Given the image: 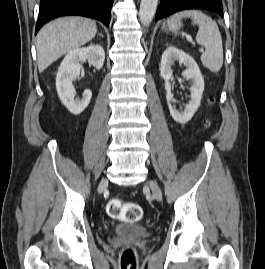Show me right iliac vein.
<instances>
[{
    "label": "right iliac vein",
    "instance_id": "1",
    "mask_svg": "<svg viewBox=\"0 0 265 269\" xmlns=\"http://www.w3.org/2000/svg\"><path fill=\"white\" fill-rule=\"evenodd\" d=\"M108 185V180L107 178H103L99 184V190H102Z\"/></svg>",
    "mask_w": 265,
    "mask_h": 269
}]
</instances>
